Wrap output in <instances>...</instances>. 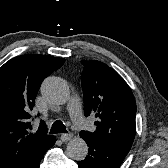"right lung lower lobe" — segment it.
Listing matches in <instances>:
<instances>
[{
	"label": "right lung lower lobe",
	"mask_w": 168,
	"mask_h": 168,
	"mask_svg": "<svg viewBox=\"0 0 168 168\" xmlns=\"http://www.w3.org/2000/svg\"><path fill=\"white\" fill-rule=\"evenodd\" d=\"M55 143V142H54ZM42 159V158H41ZM41 159L32 167V168H39V163L41 161Z\"/></svg>",
	"instance_id": "1"
}]
</instances>
